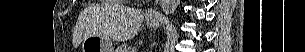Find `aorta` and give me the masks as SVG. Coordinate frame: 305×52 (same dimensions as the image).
Segmentation results:
<instances>
[{
	"instance_id": "aorta-1",
	"label": "aorta",
	"mask_w": 305,
	"mask_h": 52,
	"mask_svg": "<svg viewBox=\"0 0 305 52\" xmlns=\"http://www.w3.org/2000/svg\"><path fill=\"white\" fill-rule=\"evenodd\" d=\"M180 0H162L161 6L165 15L172 14L176 11Z\"/></svg>"
}]
</instances>
